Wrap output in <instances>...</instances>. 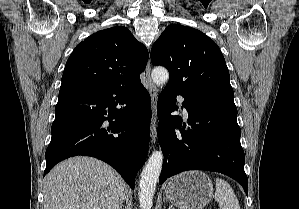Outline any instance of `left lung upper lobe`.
I'll use <instances>...</instances> for the list:
<instances>
[{"instance_id":"1","label":"left lung upper lobe","mask_w":299,"mask_h":209,"mask_svg":"<svg viewBox=\"0 0 299 209\" xmlns=\"http://www.w3.org/2000/svg\"><path fill=\"white\" fill-rule=\"evenodd\" d=\"M151 62L166 67L167 85L179 90L233 94L221 50L197 29L170 24L154 43Z\"/></svg>"}]
</instances>
